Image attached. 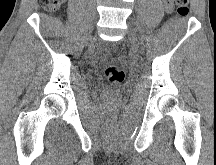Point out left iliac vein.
<instances>
[{"label":"left iliac vein","mask_w":216,"mask_h":165,"mask_svg":"<svg viewBox=\"0 0 216 165\" xmlns=\"http://www.w3.org/2000/svg\"><path fill=\"white\" fill-rule=\"evenodd\" d=\"M128 36H129L130 41H131L134 45H137V44H138L137 32H136L135 28L132 27L131 24H129Z\"/></svg>","instance_id":"1"}]
</instances>
